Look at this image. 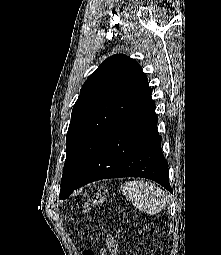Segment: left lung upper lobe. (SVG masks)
<instances>
[{
	"label": "left lung upper lobe",
	"instance_id": "left-lung-upper-lobe-1",
	"mask_svg": "<svg viewBox=\"0 0 221 255\" xmlns=\"http://www.w3.org/2000/svg\"><path fill=\"white\" fill-rule=\"evenodd\" d=\"M150 93L141 66L123 54L109 57L88 77L72 110L60 199L73 192L111 128Z\"/></svg>",
	"mask_w": 221,
	"mask_h": 255
}]
</instances>
